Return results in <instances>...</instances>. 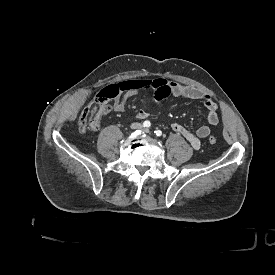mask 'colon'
<instances>
[{"label": "colon", "mask_w": 275, "mask_h": 275, "mask_svg": "<svg viewBox=\"0 0 275 275\" xmlns=\"http://www.w3.org/2000/svg\"><path fill=\"white\" fill-rule=\"evenodd\" d=\"M106 112V106L103 102L97 101L90 104L81 114L79 119V127L86 129L93 122H96ZM208 141L211 145H214L217 141L215 136H210Z\"/></svg>", "instance_id": "5ec220e1"}]
</instances>
